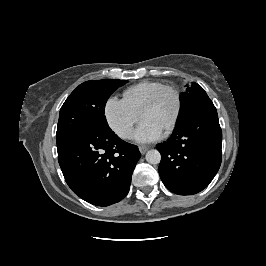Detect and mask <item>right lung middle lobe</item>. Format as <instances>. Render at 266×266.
<instances>
[{"label":"right lung middle lobe","instance_id":"dd1d6c3e","mask_svg":"<svg viewBox=\"0 0 266 266\" xmlns=\"http://www.w3.org/2000/svg\"><path fill=\"white\" fill-rule=\"evenodd\" d=\"M126 82L118 79L93 80L76 87L60 109L57 149L75 138L109 128L104 115L105 104L110 95Z\"/></svg>","mask_w":266,"mask_h":266}]
</instances>
